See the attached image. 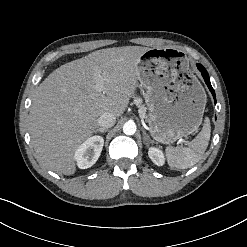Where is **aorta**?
Masks as SVG:
<instances>
[{
  "label": "aorta",
  "mask_w": 247,
  "mask_h": 247,
  "mask_svg": "<svg viewBox=\"0 0 247 247\" xmlns=\"http://www.w3.org/2000/svg\"><path fill=\"white\" fill-rule=\"evenodd\" d=\"M123 132L126 135H134L136 132V125L134 122H126L123 126Z\"/></svg>",
  "instance_id": "762f6f07"
}]
</instances>
